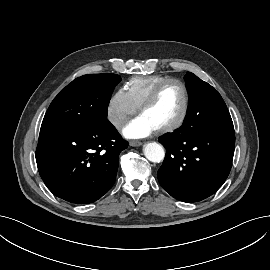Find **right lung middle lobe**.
<instances>
[{
  "label": "right lung middle lobe",
  "instance_id": "dd1d6c3e",
  "mask_svg": "<svg viewBox=\"0 0 270 270\" xmlns=\"http://www.w3.org/2000/svg\"><path fill=\"white\" fill-rule=\"evenodd\" d=\"M120 81L116 74H90L75 79L54 98L41 128H84L107 123L111 94Z\"/></svg>",
  "mask_w": 270,
  "mask_h": 270
}]
</instances>
